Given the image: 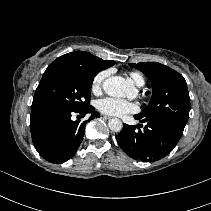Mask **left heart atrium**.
Masks as SVG:
<instances>
[{
  "instance_id": "obj_1",
  "label": "left heart atrium",
  "mask_w": 211,
  "mask_h": 211,
  "mask_svg": "<svg viewBox=\"0 0 211 211\" xmlns=\"http://www.w3.org/2000/svg\"><path fill=\"white\" fill-rule=\"evenodd\" d=\"M97 108L102 113L112 116H121L135 112L137 105L125 99L106 97L97 102Z\"/></svg>"
}]
</instances>
